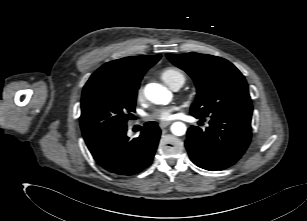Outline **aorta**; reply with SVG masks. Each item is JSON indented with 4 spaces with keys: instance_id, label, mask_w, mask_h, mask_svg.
Returning a JSON list of instances; mask_svg holds the SVG:
<instances>
[{
    "instance_id": "obj_1",
    "label": "aorta",
    "mask_w": 307,
    "mask_h": 221,
    "mask_svg": "<svg viewBox=\"0 0 307 221\" xmlns=\"http://www.w3.org/2000/svg\"><path fill=\"white\" fill-rule=\"evenodd\" d=\"M146 98L154 104L167 105L172 100V93L164 86L158 83H149L145 87ZM187 127L182 122H174L171 125V132L176 136H182L186 133Z\"/></svg>"
}]
</instances>
